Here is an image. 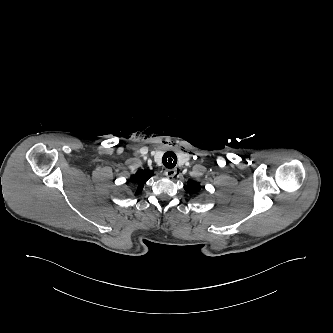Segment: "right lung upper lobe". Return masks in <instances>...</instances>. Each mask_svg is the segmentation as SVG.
Wrapping results in <instances>:
<instances>
[{"label":"right lung upper lobe","mask_w":333,"mask_h":333,"mask_svg":"<svg viewBox=\"0 0 333 333\" xmlns=\"http://www.w3.org/2000/svg\"><path fill=\"white\" fill-rule=\"evenodd\" d=\"M153 172L152 171H147V170H139L137 171V173L135 175L132 176V179L134 180L135 178L137 179H141L143 181H147L151 176H152ZM139 186H138V190L137 192H141L144 183L143 182H138Z\"/></svg>","instance_id":"obj_1"}]
</instances>
